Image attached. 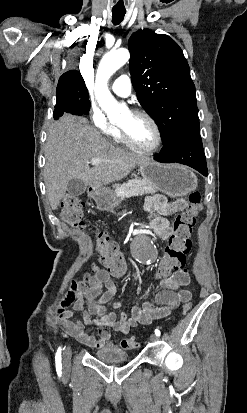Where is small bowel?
Returning a JSON list of instances; mask_svg holds the SVG:
<instances>
[{
    "label": "small bowel",
    "mask_w": 247,
    "mask_h": 413,
    "mask_svg": "<svg viewBox=\"0 0 247 413\" xmlns=\"http://www.w3.org/2000/svg\"><path fill=\"white\" fill-rule=\"evenodd\" d=\"M145 209L149 213L151 228L160 237L165 238L172 233L166 217L187 210L188 203L182 199L168 202L164 195L155 194L146 198ZM154 278L159 280L161 287L155 294L156 304L145 302L142 307L134 306L129 314L122 312L118 317L115 312L106 308V304L113 299L117 291L111 271L92 265L89 271L71 282L63 300V307L58 310L57 324L66 335L76 338L88 347L110 349L113 343L106 328H102L98 336L91 335L88 328L97 325L127 334L138 324L147 325L153 320L168 316L180 303L191 299V292L183 288L190 281L186 268L173 271V277ZM117 280L121 281L122 277L118 276ZM69 305L82 314L81 320L73 319V313L65 309ZM121 307V301L112 302L113 309L118 310Z\"/></svg>",
    "instance_id": "c3829d8e"
}]
</instances>
